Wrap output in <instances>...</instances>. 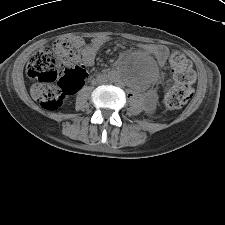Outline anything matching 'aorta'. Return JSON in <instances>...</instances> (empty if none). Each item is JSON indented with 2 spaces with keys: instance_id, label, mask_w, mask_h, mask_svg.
<instances>
[{
  "instance_id": "762f6f07",
  "label": "aorta",
  "mask_w": 225,
  "mask_h": 225,
  "mask_svg": "<svg viewBox=\"0 0 225 225\" xmlns=\"http://www.w3.org/2000/svg\"><path fill=\"white\" fill-rule=\"evenodd\" d=\"M109 79L112 82H117L118 81V77H116V76H110Z\"/></svg>"
}]
</instances>
